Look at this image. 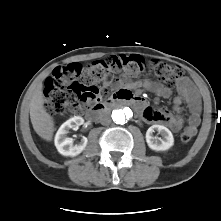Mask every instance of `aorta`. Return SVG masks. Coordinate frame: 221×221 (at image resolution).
Wrapping results in <instances>:
<instances>
[{
	"mask_svg": "<svg viewBox=\"0 0 221 221\" xmlns=\"http://www.w3.org/2000/svg\"><path fill=\"white\" fill-rule=\"evenodd\" d=\"M130 117H132L130 108L118 109L112 112V119L116 124H124Z\"/></svg>",
	"mask_w": 221,
	"mask_h": 221,
	"instance_id": "aorta-1",
	"label": "aorta"
}]
</instances>
